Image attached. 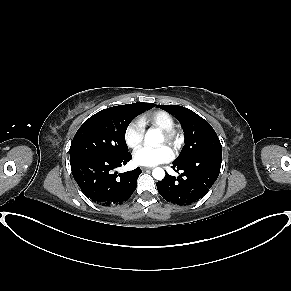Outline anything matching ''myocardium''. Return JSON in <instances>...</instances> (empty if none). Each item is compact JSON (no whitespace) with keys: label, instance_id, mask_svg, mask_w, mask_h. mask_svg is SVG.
Wrapping results in <instances>:
<instances>
[{"label":"myocardium","instance_id":"myocardium-1","mask_svg":"<svg viewBox=\"0 0 291 291\" xmlns=\"http://www.w3.org/2000/svg\"><path fill=\"white\" fill-rule=\"evenodd\" d=\"M162 136L164 137L165 142L173 148H177L182 140L180 132L174 127L162 130Z\"/></svg>","mask_w":291,"mask_h":291}]
</instances>
